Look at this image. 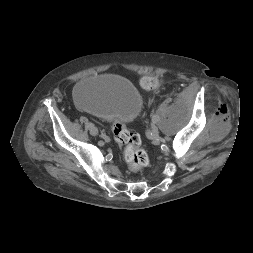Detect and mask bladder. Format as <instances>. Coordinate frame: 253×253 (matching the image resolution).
I'll list each match as a JSON object with an SVG mask.
<instances>
[{
	"label": "bladder",
	"instance_id": "bladder-1",
	"mask_svg": "<svg viewBox=\"0 0 253 253\" xmlns=\"http://www.w3.org/2000/svg\"><path fill=\"white\" fill-rule=\"evenodd\" d=\"M73 97L84 110L111 122L130 123L143 106L142 96L133 83L114 75L80 80L74 86Z\"/></svg>",
	"mask_w": 253,
	"mask_h": 253
}]
</instances>
